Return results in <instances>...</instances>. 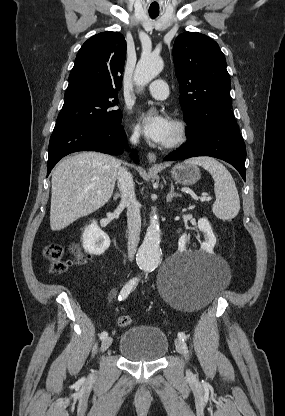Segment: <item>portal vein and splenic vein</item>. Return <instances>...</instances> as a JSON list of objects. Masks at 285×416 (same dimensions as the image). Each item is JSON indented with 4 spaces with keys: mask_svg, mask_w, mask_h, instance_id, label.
<instances>
[{
    "mask_svg": "<svg viewBox=\"0 0 285 416\" xmlns=\"http://www.w3.org/2000/svg\"><path fill=\"white\" fill-rule=\"evenodd\" d=\"M203 198H200V202H209V200H213V198H207V194H202Z\"/></svg>",
    "mask_w": 285,
    "mask_h": 416,
    "instance_id": "1",
    "label": "portal vein and splenic vein"
}]
</instances>
